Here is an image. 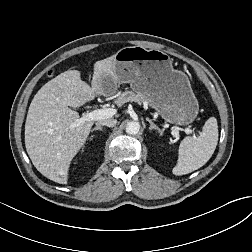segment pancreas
I'll return each instance as SVG.
<instances>
[{
    "label": "pancreas",
    "mask_w": 252,
    "mask_h": 252,
    "mask_svg": "<svg viewBox=\"0 0 252 252\" xmlns=\"http://www.w3.org/2000/svg\"><path fill=\"white\" fill-rule=\"evenodd\" d=\"M146 100L139 92L125 91L115 100L118 106H122L127 102H136L138 104L144 103Z\"/></svg>",
    "instance_id": "cf45deb5"
}]
</instances>
